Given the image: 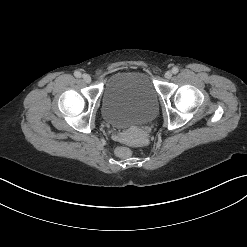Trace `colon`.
<instances>
[{
	"label": "colon",
	"instance_id": "1",
	"mask_svg": "<svg viewBox=\"0 0 247 247\" xmlns=\"http://www.w3.org/2000/svg\"><path fill=\"white\" fill-rule=\"evenodd\" d=\"M116 153L121 157H126V156H129L131 154V149L127 146H119L116 149Z\"/></svg>",
	"mask_w": 247,
	"mask_h": 247
}]
</instances>
